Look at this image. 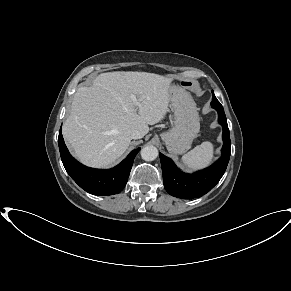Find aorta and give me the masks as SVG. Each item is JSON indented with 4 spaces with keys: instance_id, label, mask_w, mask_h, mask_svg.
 <instances>
[{
    "instance_id": "762f6f07",
    "label": "aorta",
    "mask_w": 291,
    "mask_h": 291,
    "mask_svg": "<svg viewBox=\"0 0 291 291\" xmlns=\"http://www.w3.org/2000/svg\"><path fill=\"white\" fill-rule=\"evenodd\" d=\"M158 156V149L155 146H145L141 150V157L145 161H153Z\"/></svg>"
}]
</instances>
